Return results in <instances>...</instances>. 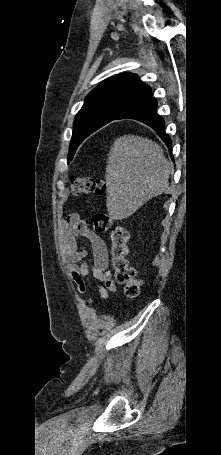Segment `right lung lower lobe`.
<instances>
[{"mask_svg": "<svg viewBox=\"0 0 221 455\" xmlns=\"http://www.w3.org/2000/svg\"><path fill=\"white\" fill-rule=\"evenodd\" d=\"M156 108L157 101L150 95L143 101L124 111L116 119H135L150 126L154 131L157 132L158 136L161 137L166 145L170 148L172 141L165 133V122L163 118L156 113Z\"/></svg>", "mask_w": 221, "mask_h": 455, "instance_id": "98d812e1", "label": "right lung lower lobe"}]
</instances>
